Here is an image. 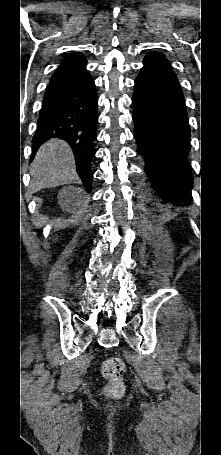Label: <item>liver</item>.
I'll use <instances>...</instances> for the list:
<instances>
[{
  "mask_svg": "<svg viewBox=\"0 0 221 455\" xmlns=\"http://www.w3.org/2000/svg\"><path fill=\"white\" fill-rule=\"evenodd\" d=\"M33 189L52 188L76 179L75 162L69 145L51 139L38 150L32 163Z\"/></svg>",
  "mask_w": 221,
  "mask_h": 455,
  "instance_id": "obj_1",
  "label": "liver"
}]
</instances>
